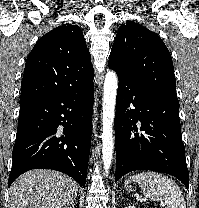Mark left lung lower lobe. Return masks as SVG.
<instances>
[{
    "label": "left lung lower lobe",
    "mask_w": 199,
    "mask_h": 208,
    "mask_svg": "<svg viewBox=\"0 0 199 208\" xmlns=\"http://www.w3.org/2000/svg\"><path fill=\"white\" fill-rule=\"evenodd\" d=\"M116 73L115 182L134 170H153L175 176L188 189L177 97Z\"/></svg>",
    "instance_id": "1"
}]
</instances>
